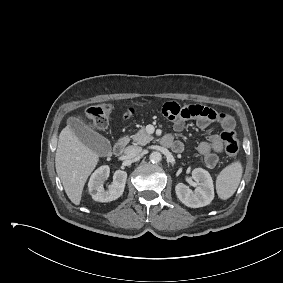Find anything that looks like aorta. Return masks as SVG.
<instances>
[{
    "label": "aorta",
    "mask_w": 283,
    "mask_h": 283,
    "mask_svg": "<svg viewBox=\"0 0 283 283\" xmlns=\"http://www.w3.org/2000/svg\"><path fill=\"white\" fill-rule=\"evenodd\" d=\"M149 159H150V161L153 162V163H158V162L161 161L162 155H161L160 152L154 151V152H152V153L150 154Z\"/></svg>",
    "instance_id": "1"
}]
</instances>
